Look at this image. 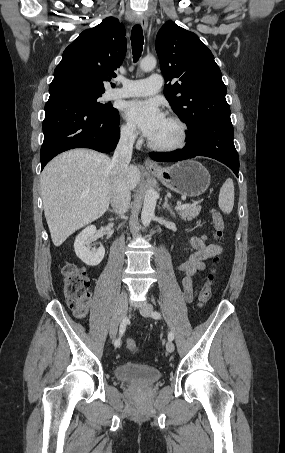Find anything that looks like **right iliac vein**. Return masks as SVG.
Listing matches in <instances>:
<instances>
[{"mask_svg":"<svg viewBox=\"0 0 285 453\" xmlns=\"http://www.w3.org/2000/svg\"><path fill=\"white\" fill-rule=\"evenodd\" d=\"M127 311V293L125 291L121 292L114 313V318L109 329V336L111 339H114L117 335L118 326L123 320Z\"/></svg>","mask_w":285,"mask_h":453,"instance_id":"obj_1","label":"right iliac vein"}]
</instances>
